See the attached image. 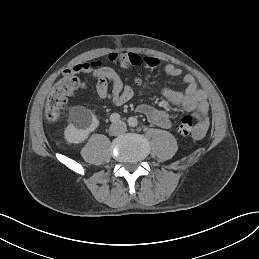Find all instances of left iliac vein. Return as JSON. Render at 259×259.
Here are the masks:
<instances>
[{
	"label": "left iliac vein",
	"mask_w": 259,
	"mask_h": 259,
	"mask_svg": "<svg viewBox=\"0 0 259 259\" xmlns=\"http://www.w3.org/2000/svg\"><path fill=\"white\" fill-rule=\"evenodd\" d=\"M120 125H121V126H124V123H123V122H120Z\"/></svg>",
	"instance_id": "left-iliac-vein-1"
}]
</instances>
